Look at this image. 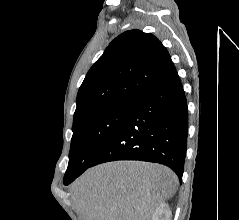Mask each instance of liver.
<instances>
[{"instance_id":"6515ba94","label":"liver","mask_w":239,"mask_h":220,"mask_svg":"<svg viewBox=\"0 0 239 220\" xmlns=\"http://www.w3.org/2000/svg\"><path fill=\"white\" fill-rule=\"evenodd\" d=\"M177 185L175 173L163 165L113 161L88 169L71 192L81 220H151Z\"/></svg>"}]
</instances>
